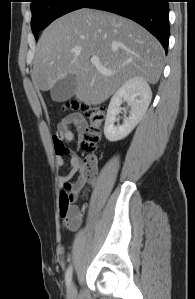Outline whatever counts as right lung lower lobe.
<instances>
[{
  "instance_id": "right-lung-lower-lobe-1",
  "label": "right lung lower lobe",
  "mask_w": 195,
  "mask_h": 299,
  "mask_svg": "<svg viewBox=\"0 0 195 299\" xmlns=\"http://www.w3.org/2000/svg\"><path fill=\"white\" fill-rule=\"evenodd\" d=\"M84 7L113 12L134 20L153 34L167 52L168 0H90Z\"/></svg>"
}]
</instances>
